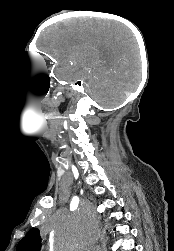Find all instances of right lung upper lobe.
Masks as SVG:
<instances>
[{
  "mask_svg": "<svg viewBox=\"0 0 174 251\" xmlns=\"http://www.w3.org/2000/svg\"><path fill=\"white\" fill-rule=\"evenodd\" d=\"M41 238L37 228L31 229L18 243L16 251H39Z\"/></svg>",
  "mask_w": 174,
  "mask_h": 251,
  "instance_id": "cb5924a9",
  "label": "right lung upper lobe"
}]
</instances>
